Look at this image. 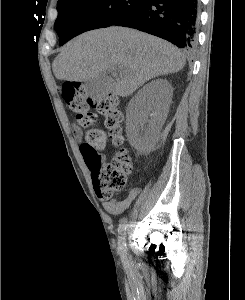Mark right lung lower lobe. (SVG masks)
<instances>
[{
  "mask_svg": "<svg viewBox=\"0 0 245 300\" xmlns=\"http://www.w3.org/2000/svg\"><path fill=\"white\" fill-rule=\"evenodd\" d=\"M114 25L147 32L192 52L198 25V0H148Z\"/></svg>",
  "mask_w": 245,
  "mask_h": 300,
  "instance_id": "obj_1",
  "label": "right lung lower lobe"
}]
</instances>
